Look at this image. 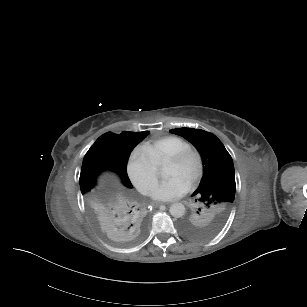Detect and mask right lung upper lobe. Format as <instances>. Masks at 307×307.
<instances>
[{"mask_svg": "<svg viewBox=\"0 0 307 307\" xmlns=\"http://www.w3.org/2000/svg\"><path fill=\"white\" fill-rule=\"evenodd\" d=\"M148 131L100 136L90 148L103 157L108 169L119 175L125 189L116 192H100L90 188L82 193V200L96 222L104 230L141 231L148 219L145 206L130 191L132 184L127 175V161L133 148L148 135Z\"/></svg>", "mask_w": 307, "mask_h": 307, "instance_id": "right-lung-upper-lobe-1", "label": "right lung upper lobe"}]
</instances>
